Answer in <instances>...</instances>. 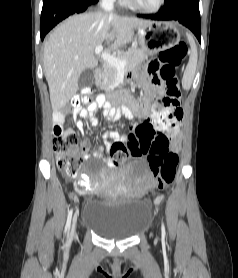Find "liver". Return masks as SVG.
Wrapping results in <instances>:
<instances>
[{"instance_id":"1","label":"liver","mask_w":238,"mask_h":278,"mask_svg":"<svg viewBox=\"0 0 238 278\" xmlns=\"http://www.w3.org/2000/svg\"><path fill=\"white\" fill-rule=\"evenodd\" d=\"M149 23L97 11L73 15L56 27L46 40L43 53L53 111H59L77 93L82 71L98 65L96 46L106 42L110 49H118L132 41L133 29Z\"/></svg>"}]
</instances>
